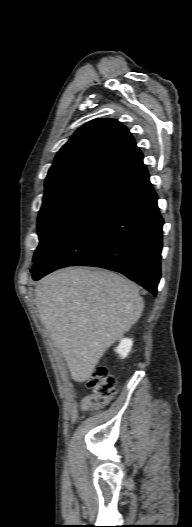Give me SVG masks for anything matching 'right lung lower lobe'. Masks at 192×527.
<instances>
[{
    "label": "right lung lower lobe",
    "instance_id": "obj_1",
    "mask_svg": "<svg viewBox=\"0 0 192 527\" xmlns=\"http://www.w3.org/2000/svg\"><path fill=\"white\" fill-rule=\"evenodd\" d=\"M163 219L140 155L101 188L30 270L34 280L66 266L124 274L157 294Z\"/></svg>",
    "mask_w": 192,
    "mask_h": 527
}]
</instances>
